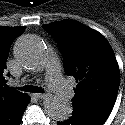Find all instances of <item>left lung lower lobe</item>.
I'll list each match as a JSON object with an SVG mask.
<instances>
[{
    "label": "left lung lower lobe",
    "mask_w": 125,
    "mask_h": 125,
    "mask_svg": "<svg viewBox=\"0 0 125 125\" xmlns=\"http://www.w3.org/2000/svg\"><path fill=\"white\" fill-rule=\"evenodd\" d=\"M105 121L106 119L73 111L72 116L68 120L59 121L57 125H103Z\"/></svg>",
    "instance_id": "1"
}]
</instances>
